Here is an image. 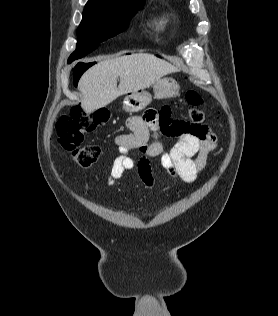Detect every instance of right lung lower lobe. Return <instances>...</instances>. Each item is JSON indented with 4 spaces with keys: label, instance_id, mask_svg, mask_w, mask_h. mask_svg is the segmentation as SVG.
<instances>
[{
    "label": "right lung lower lobe",
    "instance_id": "98d812e1",
    "mask_svg": "<svg viewBox=\"0 0 278 316\" xmlns=\"http://www.w3.org/2000/svg\"><path fill=\"white\" fill-rule=\"evenodd\" d=\"M80 74H75V80L79 78Z\"/></svg>",
    "mask_w": 278,
    "mask_h": 316
}]
</instances>
